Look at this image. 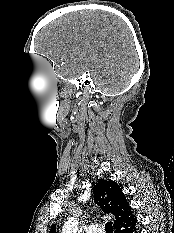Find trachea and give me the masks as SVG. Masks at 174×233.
<instances>
[{
  "instance_id": "trachea-1",
  "label": "trachea",
  "mask_w": 174,
  "mask_h": 233,
  "mask_svg": "<svg viewBox=\"0 0 174 233\" xmlns=\"http://www.w3.org/2000/svg\"><path fill=\"white\" fill-rule=\"evenodd\" d=\"M105 231L106 233H113V225L112 222H107L105 224Z\"/></svg>"
}]
</instances>
